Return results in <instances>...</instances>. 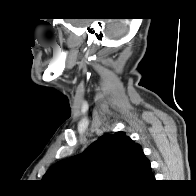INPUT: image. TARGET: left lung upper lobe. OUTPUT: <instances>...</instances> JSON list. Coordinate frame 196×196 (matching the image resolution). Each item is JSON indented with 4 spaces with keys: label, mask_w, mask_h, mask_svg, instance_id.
<instances>
[{
    "label": "left lung upper lobe",
    "mask_w": 196,
    "mask_h": 196,
    "mask_svg": "<svg viewBox=\"0 0 196 196\" xmlns=\"http://www.w3.org/2000/svg\"><path fill=\"white\" fill-rule=\"evenodd\" d=\"M149 161L142 147L125 132L101 136L83 153L54 164L43 176L52 185H70L96 178L100 183H133Z\"/></svg>",
    "instance_id": "1"
}]
</instances>
